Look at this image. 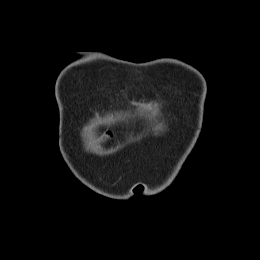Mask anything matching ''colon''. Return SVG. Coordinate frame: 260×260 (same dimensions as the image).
<instances>
[{
    "mask_svg": "<svg viewBox=\"0 0 260 260\" xmlns=\"http://www.w3.org/2000/svg\"><path fill=\"white\" fill-rule=\"evenodd\" d=\"M109 135H110V133H109V132H107L106 136H109Z\"/></svg>",
    "mask_w": 260,
    "mask_h": 260,
    "instance_id": "1",
    "label": "colon"
}]
</instances>
